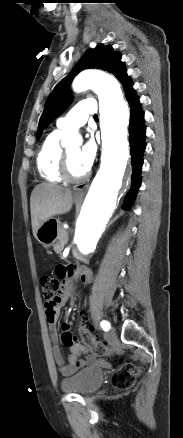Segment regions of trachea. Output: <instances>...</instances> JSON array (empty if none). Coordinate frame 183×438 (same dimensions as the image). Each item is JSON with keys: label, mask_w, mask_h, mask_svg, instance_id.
<instances>
[{"label": "trachea", "mask_w": 183, "mask_h": 438, "mask_svg": "<svg viewBox=\"0 0 183 438\" xmlns=\"http://www.w3.org/2000/svg\"><path fill=\"white\" fill-rule=\"evenodd\" d=\"M94 118H98V115H97V114H95V115H94Z\"/></svg>", "instance_id": "trachea-1"}]
</instances>
